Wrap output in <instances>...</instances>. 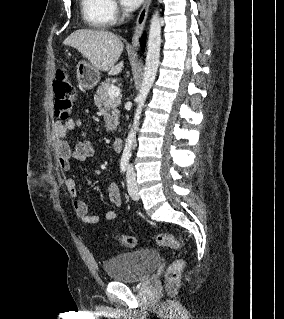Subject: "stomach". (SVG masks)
Instances as JSON below:
<instances>
[{
    "label": "stomach",
    "instance_id": "1",
    "mask_svg": "<svg viewBox=\"0 0 284 319\" xmlns=\"http://www.w3.org/2000/svg\"><path fill=\"white\" fill-rule=\"evenodd\" d=\"M76 76L79 85L87 90L94 88L100 80L99 70L86 61H80L78 63Z\"/></svg>",
    "mask_w": 284,
    "mask_h": 319
}]
</instances>
